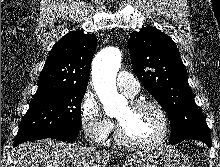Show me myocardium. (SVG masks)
<instances>
[{"mask_svg": "<svg viewBox=\"0 0 220 167\" xmlns=\"http://www.w3.org/2000/svg\"><path fill=\"white\" fill-rule=\"evenodd\" d=\"M129 105L132 108H142V107H152L160 114L163 122V128L161 133L149 140H142V141H136L129 139L123 132L121 126L119 123L116 125V131H115V139L116 141L123 146L130 147V148H145V147H153L161 144L169 135L170 128H171V122L169 115L165 108L154 100H148V99H138V100H132Z\"/></svg>", "mask_w": 220, "mask_h": 167, "instance_id": "obj_1", "label": "myocardium"}]
</instances>
